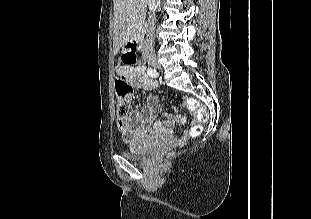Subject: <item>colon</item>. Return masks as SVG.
I'll return each instance as SVG.
<instances>
[{"instance_id":"1","label":"colon","mask_w":311,"mask_h":219,"mask_svg":"<svg viewBox=\"0 0 311 219\" xmlns=\"http://www.w3.org/2000/svg\"><path fill=\"white\" fill-rule=\"evenodd\" d=\"M126 62L128 64H135V55L130 53L128 50V55ZM115 89L117 95V114L119 118L124 117L127 114L129 108V98L132 93V87L128 82L125 75H120L115 81ZM185 107L191 111L195 119L200 123L207 119L206 110L194 99H186L184 101ZM201 131L200 124H196L191 129V136H196Z\"/></svg>"}]
</instances>
